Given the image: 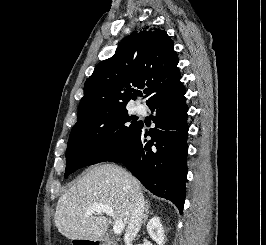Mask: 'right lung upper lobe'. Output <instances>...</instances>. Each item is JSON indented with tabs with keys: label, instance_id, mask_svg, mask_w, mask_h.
Segmentation results:
<instances>
[{
	"label": "right lung upper lobe",
	"instance_id": "obj_1",
	"mask_svg": "<svg viewBox=\"0 0 266 245\" xmlns=\"http://www.w3.org/2000/svg\"><path fill=\"white\" fill-rule=\"evenodd\" d=\"M178 56L166 31L144 28L132 32L118 45L115 54L101 61L84 84L78 120L95 113L126 108L137 90H148L149 104L180 82Z\"/></svg>",
	"mask_w": 266,
	"mask_h": 245
}]
</instances>
